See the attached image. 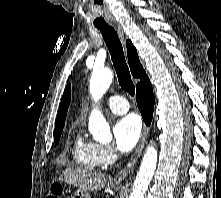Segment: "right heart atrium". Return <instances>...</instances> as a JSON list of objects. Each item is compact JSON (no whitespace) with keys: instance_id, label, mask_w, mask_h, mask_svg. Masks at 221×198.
<instances>
[{"instance_id":"d8ad5b80","label":"right heart atrium","mask_w":221,"mask_h":198,"mask_svg":"<svg viewBox=\"0 0 221 198\" xmlns=\"http://www.w3.org/2000/svg\"><path fill=\"white\" fill-rule=\"evenodd\" d=\"M97 153L101 165H110L118 157L115 149L111 145L97 144Z\"/></svg>"}]
</instances>
